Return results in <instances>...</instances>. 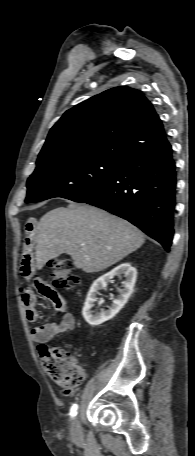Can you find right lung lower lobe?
I'll return each instance as SVG.
<instances>
[{"label": "right lung lower lobe", "instance_id": "right-lung-lower-lobe-1", "mask_svg": "<svg viewBox=\"0 0 195 456\" xmlns=\"http://www.w3.org/2000/svg\"><path fill=\"white\" fill-rule=\"evenodd\" d=\"M172 147L130 157L118 171L72 201L88 203L122 217L169 251L174 235L176 167Z\"/></svg>", "mask_w": 195, "mask_h": 456}]
</instances>
